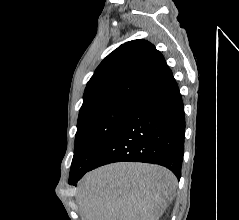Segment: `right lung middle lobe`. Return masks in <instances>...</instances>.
<instances>
[{
	"mask_svg": "<svg viewBox=\"0 0 239 220\" xmlns=\"http://www.w3.org/2000/svg\"><path fill=\"white\" fill-rule=\"evenodd\" d=\"M131 104L118 105L78 119L69 181L81 178L114 135Z\"/></svg>",
	"mask_w": 239,
	"mask_h": 220,
	"instance_id": "obj_1",
	"label": "right lung middle lobe"
}]
</instances>
